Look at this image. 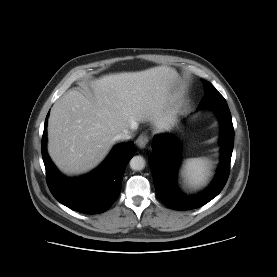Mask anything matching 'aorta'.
<instances>
[{"mask_svg": "<svg viewBox=\"0 0 277 277\" xmlns=\"http://www.w3.org/2000/svg\"><path fill=\"white\" fill-rule=\"evenodd\" d=\"M130 168L135 171H140L145 167V159L142 156H134L130 160Z\"/></svg>", "mask_w": 277, "mask_h": 277, "instance_id": "762f6f07", "label": "aorta"}]
</instances>
